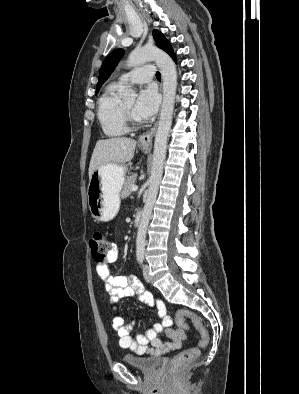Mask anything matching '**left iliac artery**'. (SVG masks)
<instances>
[{
  "instance_id": "left-iliac-artery-1",
  "label": "left iliac artery",
  "mask_w": 299,
  "mask_h": 394,
  "mask_svg": "<svg viewBox=\"0 0 299 394\" xmlns=\"http://www.w3.org/2000/svg\"><path fill=\"white\" fill-rule=\"evenodd\" d=\"M138 261H139L140 264H142L143 261H144V257H143V256H139V257H138Z\"/></svg>"
}]
</instances>
